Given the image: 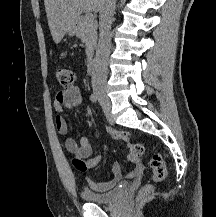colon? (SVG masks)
Segmentation results:
<instances>
[{
    "label": "colon",
    "mask_w": 216,
    "mask_h": 217,
    "mask_svg": "<svg viewBox=\"0 0 216 217\" xmlns=\"http://www.w3.org/2000/svg\"><path fill=\"white\" fill-rule=\"evenodd\" d=\"M55 77L59 85L65 89H70L74 86L75 74L68 68H57L55 71ZM106 131L114 140L124 142L128 145V157L130 160L140 161L146 156V148L141 142L133 141L125 133L112 128H106ZM148 161L153 172V180L155 182H161L165 180L167 177V168L161 154H152L148 157ZM73 164L81 172L88 170L87 163L84 159L78 157L74 158ZM152 192V185L144 186L138 193V200L142 201L146 199L152 194Z\"/></svg>",
    "instance_id": "5ec220e1"
}]
</instances>
